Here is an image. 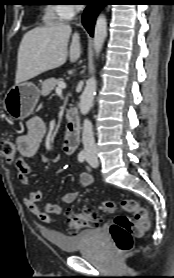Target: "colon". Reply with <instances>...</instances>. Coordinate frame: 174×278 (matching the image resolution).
Returning a JSON list of instances; mask_svg holds the SVG:
<instances>
[{"instance_id": "1", "label": "colon", "mask_w": 174, "mask_h": 278, "mask_svg": "<svg viewBox=\"0 0 174 278\" xmlns=\"http://www.w3.org/2000/svg\"><path fill=\"white\" fill-rule=\"evenodd\" d=\"M0 152L8 161H13L17 155V147L9 140H2ZM121 207L132 217L118 215L110 226V235L118 253L132 249L134 238L143 234L150 226L147 210L136 200L125 199L121 202ZM114 209L115 204L112 201H104L101 204V212L104 214H110ZM99 220V213L90 209L67 213V227L71 231L93 226Z\"/></svg>"}]
</instances>
